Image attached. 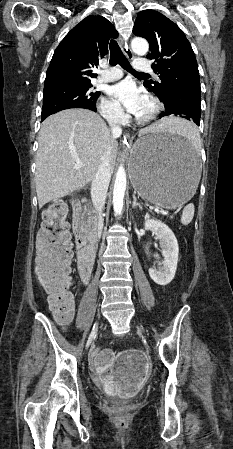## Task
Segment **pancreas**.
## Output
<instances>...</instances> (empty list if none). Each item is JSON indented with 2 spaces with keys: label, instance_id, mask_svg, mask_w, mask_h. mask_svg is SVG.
Instances as JSON below:
<instances>
[{
  "label": "pancreas",
  "instance_id": "1",
  "mask_svg": "<svg viewBox=\"0 0 233 449\" xmlns=\"http://www.w3.org/2000/svg\"><path fill=\"white\" fill-rule=\"evenodd\" d=\"M92 219H93V220H96V217L94 216ZM93 222H94V221H93Z\"/></svg>",
  "mask_w": 233,
  "mask_h": 449
}]
</instances>
